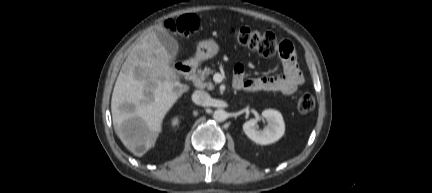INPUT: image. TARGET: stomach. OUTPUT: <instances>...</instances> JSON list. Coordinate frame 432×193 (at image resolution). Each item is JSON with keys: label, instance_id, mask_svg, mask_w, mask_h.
<instances>
[{"label": "stomach", "instance_id": "stomach-1", "mask_svg": "<svg viewBox=\"0 0 432 193\" xmlns=\"http://www.w3.org/2000/svg\"><path fill=\"white\" fill-rule=\"evenodd\" d=\"M218 52L219 46L214 40H204L197 45L196 56L201 61H205L217 55Z\"/></svg>", "mask_w": 432, "mask_h": 193}]
</instances>
